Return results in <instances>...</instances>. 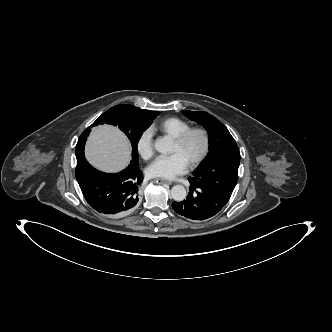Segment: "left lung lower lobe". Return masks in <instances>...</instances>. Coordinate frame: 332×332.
I'll use <instances>...</instances> for the list:
<instances>
[{"label": "left lung lower lobe", "instance_id": "obj_1", "mask_svg": "<svg viewBox=\"0 0 332 332\" xmlns=\"http://www.w3.org/2000/svg\"><path fill=\"white\" fill-rule=\"evenodd\" d=\"M191 187L187 198L181 202H173L174 211L186 218L202 221L217 214L228 202L211 190L196 186L188 179Z\"/></svg>", "mask_w": 332, "mask_h": 332}]
</instances>
